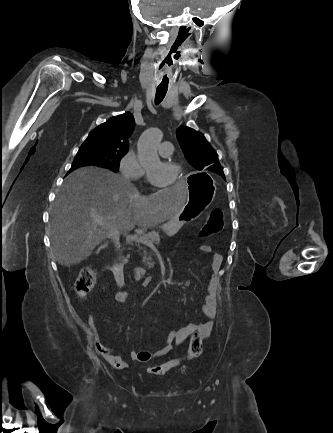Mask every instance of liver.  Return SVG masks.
<instances>
[{
  "label": "liver",
  "instance_id": "obj_1",
  "mask_svg": "<svg viewBox=\"0 0 333 433\" xmlns=\"http://www.w3.org/2000/svg\"><path fill=\"white\" fill-rule=\"evenodd\" d=\"M169 189L142 196L130 180L108 169H76L66 177L51 208L55 259L64 266L79 264L111 228L128 232L133 225L155 228L172 220L182 209L181 201H189V192L186 183H171Z\"/></svg>",
  "mask_w": 333,
  "mask_h": 433
}]
</instances>
